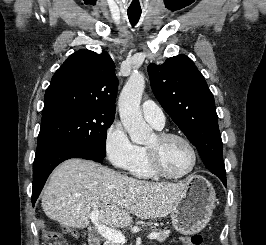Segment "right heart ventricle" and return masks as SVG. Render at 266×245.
I'll list each match as a JSON object with an SVG mask.
<instances>
[{"label": "right heart ventricle", "instance_id": "right-heart-ventricle-1", "mask_svg": "<svg viewBox=\"0 0 266 245\" xmlns=\"http://www.w3.org/2000/svg\"><path fill=\"white\" fill-rule=\"evenodd\" d=\"M132 173L135 177L144 179V180H151L155 178V176L153 175V173L151 172L148 166L147 159H146V153L143 149H142V154L136 166L132 170Z\"/></svg>", "mask_w": 266, "mask_h": 245}]
</instances>
